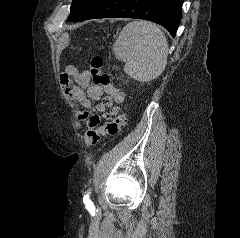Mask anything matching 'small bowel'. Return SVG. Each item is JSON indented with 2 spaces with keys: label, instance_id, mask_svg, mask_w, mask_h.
Listing matches in <instances>:
<instances>
[{
  "label": "small bowel",
  "instance_id": "1",
  "mask_svg": "<svg viewBox=\"0 0 240 238\" xmlns=\"http://www.w3.org/2000/svg\"><path fill=\"white\" fill-rule=\"evenodd\" d=\"M60 81L69 102L83 107V110H77L75 115L76 119L84 121L87 127H96L102 118L109 120L120 113L121 107L114 104L113 97L104 96V88L99 84L91 83L88 71L67 65L60 76ZM92 102H96L95 109L92 107Z\"/></svg>",
  "mask_w": 240,
  "mask_h": 238
}]
</instances>
